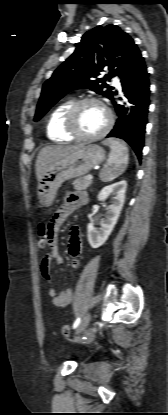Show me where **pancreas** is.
Instances as JSON below:
<instances>
[{
	"label": "pancreas",
	"mask_w": 168,
	"mask_h": 415,
	"mask_svg": "<svg viewBox=\"0 0 168 415\" xmlns=\"http://www.w3.org/2000/svg\"><path fill=\"white\" fill-rule=\"evenodd\" d=\"M92 184V180H88L87 176L80 177L73 181L74 188L78 191L87 189Z\"/></svg>",
	"instance_id": "pancreas-1"
}]
</instances>
